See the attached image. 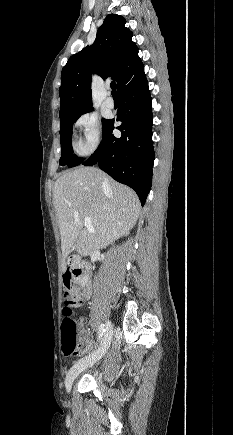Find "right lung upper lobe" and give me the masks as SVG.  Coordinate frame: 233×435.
Returning <instances> with one entry per match:
<instances>
[{"label":"right lung upper lobe","mask_w":233,"mask_h":435,"mask_svg":"<svg viewBox=\"0 0 233 435\" xmlns=\"http://www.w3.org/2000/svg\"><path fill=\"white\" fill-rule=\"evenodd\" d=\"M126 20L108 14L97 31L94 44L72 55L61 72L60 117L78 115L92 109L91 73L103 79L111 77L117 90L144 72L133 33L125 27Z\"/></svg>","instance_id":"cb5924a9"}]
</instances>
